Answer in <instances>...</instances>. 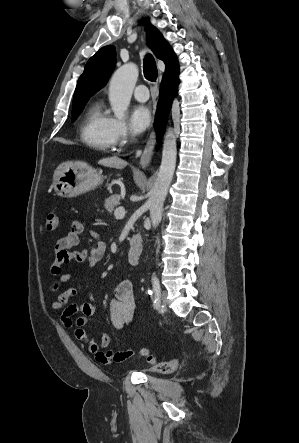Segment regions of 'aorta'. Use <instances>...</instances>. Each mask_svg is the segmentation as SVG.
Segmentation results:
<instances>
[{"mask_svg": "<svg viewBox=\"0 0 299 443\" xmlns=\"http://www.w3.org/2000/svg\"><path fill=\"white\" fill-rule=\"evenodd\" d=\"M138 75V67L133 63H127L118 68L111 78L109 101L114 116L118 119L125 117ZM176 156L175 132L173 128H168L163 141L161 165L147 202L154 228L159 225L162 219L163 204L174 175Z\"/></svg>", "mask_w": 299, "mask_h": 443, "instance_id": "1", "label": "aorta"}]
</instances>
